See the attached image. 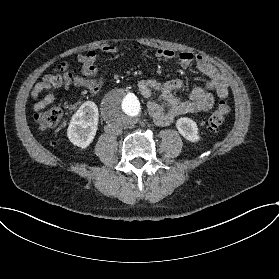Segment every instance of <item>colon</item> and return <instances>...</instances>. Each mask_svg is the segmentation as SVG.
Here are the masks:
<instances>
[{
    "mask_svg": "<svg viewBox=\"0 0 279 279\" xmlns=\"http://www.w3.org/2000/svg\"><path fill=\"white\" fill-rule=\"evenodd\" d=\"M55 71L62 72L65 76H72L78 72V69L73 68L67 64H60L54 67ZM230 111V104L226 100H221L218 103L217 109L212 113L207 120V128L215 130L222 125L226 116ZM61 110L56 107H48L39 111L35 115V120L39 127L45 131L54 129L59 121Z\"/></svg>",
    "mask_w": 279,
    "mask_h": 279,
    "instance_id": "5ec220e1",
    "label": "colon"
}]
</instances>
